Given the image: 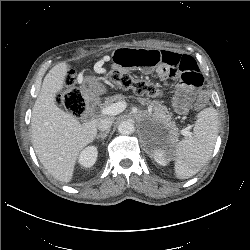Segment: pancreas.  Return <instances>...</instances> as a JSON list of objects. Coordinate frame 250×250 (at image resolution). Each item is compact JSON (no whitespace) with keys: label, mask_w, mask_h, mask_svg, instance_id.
<instances>
[{"label":"pancreas","mask_w":250,"mask_h":250,"mask_svg":"<svg viewBox=\"0 0 250 250\" xmlns=\"http://www.w3.org/2000/svg\"><path fill=\"white\" fill-rule=\"evenodd\" d=\"M125 97L122 95H114L112 97H107L105 98V106L113 104V102H118V101H124ZM142 103H145L149 105L152 108V117L158 120L163 121L170 127V141L172 143L177 142L178 137H177V129L175 127V124L171 122V116L167 108L160 104L159 101L155 100H149V99H142L140 100Z\"/></svg>","instance_id":"pancreas-1"}]
</instances>
